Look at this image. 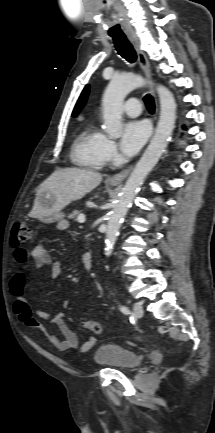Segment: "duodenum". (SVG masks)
<instances>
[{
  "mask_svg": "<svg viewBox=\"0 0 215 433\" xmlns=\"http://www.w3.org/2000/svg\"><path fill=\"white\" fill-rule=\"evenodd\" d=\"M81 260L86 270L91 271L93 269L92 256L90 253H83Z\"/></svg>",
  "mask_w": 215,
  "mask_h": 433,
  "instance_id": "410a0bca",
  "label": "duodenum"
}]
</instances>
